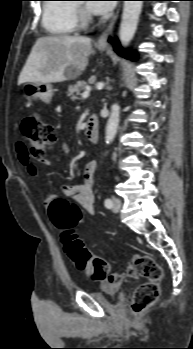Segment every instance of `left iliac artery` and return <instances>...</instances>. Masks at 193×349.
I'll return each mask as SVG.
<instances>
[{"label":"left iliac artery","instance_id":"44dca946","mask_svg":"<svg viewBox=\"0 0 193 349\" xmlns=\"http://www.w3.org/2000/svg\"><path fill=\"white\" fill-rule=\"evenodd\" d=\"M104 204L106 208L110 209L112 207V200L110 198H106Z\"/></svg>","mask_w":193,"mask_h":349}]
</instances>
